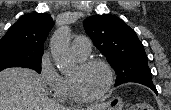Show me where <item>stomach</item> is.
<instances>
[{
    "instance_id": "0dacf381",
    "label": "stomach",
    "mask_w": 171,
    "mask_h": 110,
    "mask_svg": "<svg viewBox=\"0 0 171 110\" xmlns=\"http://www.w3.org/2000/svg\"><path fill=\"white\" fill-rule=\"evenodd\" d=\"M122 100L120 98H112L107 104L100 107H94L90 110H122Z\"/></svg>"
}]
</instances>
